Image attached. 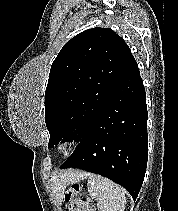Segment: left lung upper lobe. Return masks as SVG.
<instances>
[{
  "mask_svg": "<svg viewBox=\"0 0 178 211\" xmlns=\"http://www.w3.org/2000/svg\"><path fill=\"white\" fill-rule=\"evenodd\" d=\"M132 59L128 45L109 28L85 30L63 46L45 91L48 148L86 137Z\"/></svg>",
  "mask_w": 178,
  "mask_h": 211,
  "instance_id": "1",
  "label": "left lung upper lobe"
}]
</instances>
